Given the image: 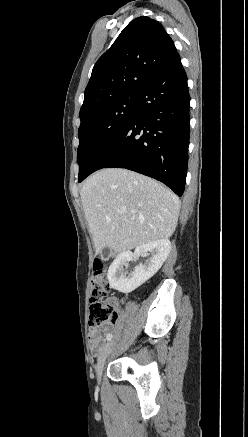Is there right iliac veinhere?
Instances as JSON below:
<instances>
[{"mask_svg": "<svg viewBox=\"0 0 248 437\" xmlns=\"http://www.w3.org/2000/svg\"><path fill=\"white\" fill-rule=\"evenodd\" d=\"M113 347H114V342L110 341L102 348V350L99 354V357L97 360V365H96V375H97L98 381L101 380V375H102L105 360H106L107 356L109 355V353L112 351Z\"/></svg>", "mask_w": 248, "mask_h": 437, "instance_id": "obj_1", "label": "right iliac vein"}]
</instances>
